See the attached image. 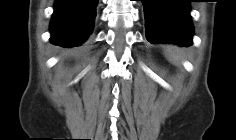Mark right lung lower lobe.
<instances>
[{
  "label": "right lung lower lobe",
  "mask_w": 236,
  "mask_h": 140,
  "mask_svg": "<svg viewBox=\"0 0 236 140\" xmlns=\"http://www.w3.org/2000/svg\"><path fill=\"white\" fill-rule=\"evenodd\" d=\"M98 0H55L50 24L51 43L72 48L90 35Z\"/></svg>",
  "instance_id": "obj_1"
}]
</instances>
